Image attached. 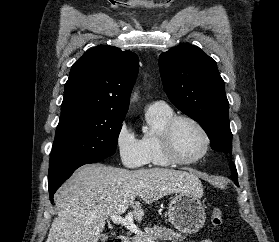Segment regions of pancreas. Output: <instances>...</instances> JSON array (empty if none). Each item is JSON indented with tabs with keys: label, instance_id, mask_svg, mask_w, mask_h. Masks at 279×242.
<instances>
[{
	"label": "pancreas",
	"instance_id": "pancreas-1",
	"mask_svg": "<svg viewBox=\"0 0 279 242\" xmlns=\"http://www.w3.org/2000/svg\"><path fill=\"white\" fill-rule=\"evenodd\" d=\"M143 237L135 236L132 239V242H145V239H151L153 242L158 240L171 241V242H181L185 239L181 233L175 232L172 229H168L163 226L155 225L152 228H148L144 233Z\"/></svg>",
	"mask_w": 279,
	"mask_h": 242
}]
</instances>
